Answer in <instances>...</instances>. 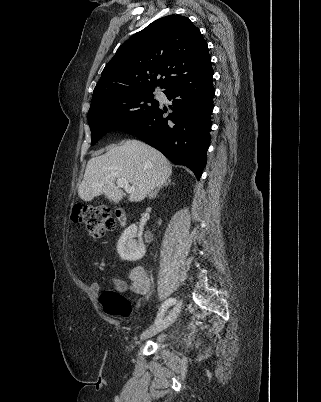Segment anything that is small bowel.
I'll return each instance as SVG.
<instances>
[{
    "mask_svg": "<svg viewBox=\"0 0 321 402\" xmlns=\"http://www.w3.org/2000/svg\"><path fill=\"white\" fill-rule=\"evenodd\" d=\"M112 281L115 288L120 292H125L128 288H130L136 294L145 295L149 293L151 289V283L148 274L141 266H136L130 271V285H128L125 280L120 278H113ZM90 288L93 292L97 293L100 290V285L97 283H93L91 284Z\"/></svg>",
    "mask_w": 321,
    "mask_h": 402,
    "instance_id": "c3829d8e",
    "label": "small bowel"
}]
</instances>
